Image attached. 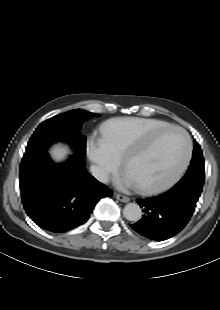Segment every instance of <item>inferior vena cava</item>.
<instances>
[{
    "mask_svg": "<svg viewBox=\"0 0 220 310\" xmlns=\"http://www.w3.org/2000/svg\"><path fill=\"white\" fill-rule=\"evenodd\" d=\"M91 174L99 181L106 182L108 179L107 173L99 166L93 165L91 167Z\"/></svg>",
    "mask_w": 220,
    "mask_h": 310,
    "instance_id": "1",
    "label": "inferior vena cava"
}]
</instances>
